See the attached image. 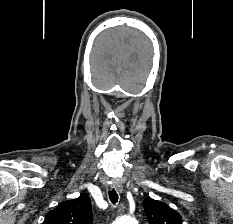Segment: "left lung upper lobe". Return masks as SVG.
Wrapping results in <instances>:
<instances>
[{
	"label": "left lung upper lobe",
	"mask_w": 233,
	"mask_h": 224,
	"mask_svg": "<svg viewBox=\"0 0 233 224\" xmlns=\"http://www.w3.org/2000/svg\"><path fill=\"white\" fill-rule=\"evenodd\" d=\"M144 210L150 224H182L181 215L163 202L147 198Z\"/></svg>",
	"instance_id": "obj_1"
}]
</instances>
